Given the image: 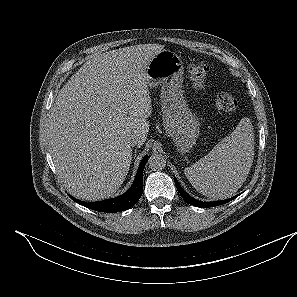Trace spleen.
I'll return each mask as SVG.
<instances>
[{"instance_id":"obj_1","label":"spleen","mask_w":297,"mask_h":297,"mask_svg":"<svg viewBox=\"0 0 297 297\" xmlns=\"http://www.w3.org/2000/svg\"><path fill=\"white\" fill-rule=\"evenodd\" d=\"M254 158L253 126L248 117L206 156L184 169L192 186L205 196L231 197L245 182Z\"/></svg>"}]
</instances>
